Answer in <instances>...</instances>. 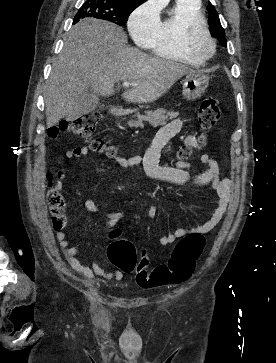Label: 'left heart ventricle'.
Returning a JSON list of instances; mask_svg holds the SVG:
<instances>
[{
    "label": "left heart ventricle",
    "mask_w": 276,
    "mask_h": 363,
    "mask_svg": "<svg viewBox=\"0 0 276 363\" xmlns=\"http://www.w3.org/2000/svg\"><path fill=\"white\" fill-rule=\"evenodd\" d=\"M193 46L197 48L202 53H208L211 49L210 43L206 36L199 32L192 40Z\"/></svg>",
    "instance_id": "1"
}]
</instances>
